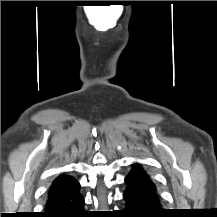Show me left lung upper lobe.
Listing matches in <instances>:
<instances>
[{"label": "left lung upper lobe", "instance_id": "1", "mask_svg": "<svg viewBox=\"0 0 217 217\" xmlns=\"http://www.w3.org/2000/svg\"><path fill=\"white\" fill-rule=\"evenodd\" d=\"M134 171L140 173L141 175H143L146 178H149V175L146 174V172L142 169V167L140 166V164L136 165V168L134 169Z\"/></svg>", "mask_w": 217, "mask_h": 217}]
</instances>
